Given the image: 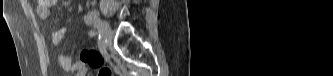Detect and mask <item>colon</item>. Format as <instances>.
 Returning a JSON list of instances; mask_svg holds the SVG:
<instances>
[{
  "instance_id": "colon-1",
  "label": "colon",
  "mask_w": 333,
  "mask_h": 76,
  "mask_svg": "<svg viewBox=\"0 0 333 76\" xmlns=\"http://www.w3.org/2000/svg\"><path fill=\"white\" fill-rule=\"evenodd\" d=\"M112 72L109 69H104L100 72H98V76H112Z\"/></svg>"
}]
</instances>
